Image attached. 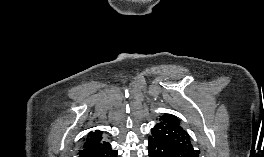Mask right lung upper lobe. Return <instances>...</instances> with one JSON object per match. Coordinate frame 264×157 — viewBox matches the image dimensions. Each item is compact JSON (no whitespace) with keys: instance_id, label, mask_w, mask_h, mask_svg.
Segmentation results:
<instances>
[{"instance_id":"cb5924a9","label":"right lung upper lobe","mask_w":264,"mask_h":157,"mask_svg":"<svg viewBox=\"0 0 264 157\" xmlns=\"http://www.w3.org/2000/svg\"><path fill=\"white\" fill-rule=\"evenodd\" d=\"M102 140V132L99 130H96L94 132H90L85 139V143L83 145V148L89 147L93 144H96Z\"/></svg>"}]
</instances>
